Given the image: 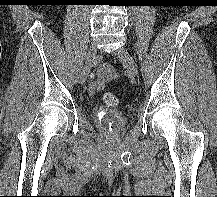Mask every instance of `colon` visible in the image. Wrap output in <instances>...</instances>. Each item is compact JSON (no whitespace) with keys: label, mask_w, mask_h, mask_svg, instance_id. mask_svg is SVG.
Listing matches in <instances>:
<instances>
[{"label":"colon","mask_w":217,"mask_h":197,"mask_svg":"<svg viewBox=\"0 0 217 197\" xmlns=\"http://www.w3.org/2000/svg\"><path fill=\"white\" fill-rule=\"evenodd\" d=\"M103 100L108 107H116L119 104V99L109 92L103 95Z\"/></svg>","instance_id":"5ec220e1"}]
</instances>
